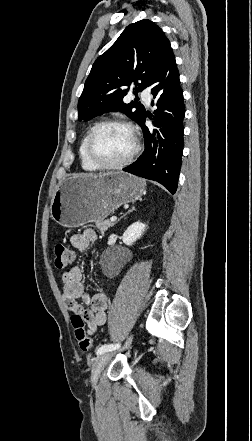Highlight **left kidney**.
I'll return each mask as SVG.
<instances>
[{
	"label": "left kidney",
	"mask_w": 252,
	"mask_h": 441,
	"mask_svg": "<svg viewBox=\"0 0 252 441\" xmlns=\"http://www.w3.org/2000/svg\"><path fill=\"white\" fill-rule=\"evenodd\" d=\"M146 229V225L141 222H134L124 232L122 240L127 246L133 245L143 234Z\"/></svg>",
	"instance_id": "1"
}]
</instances>
